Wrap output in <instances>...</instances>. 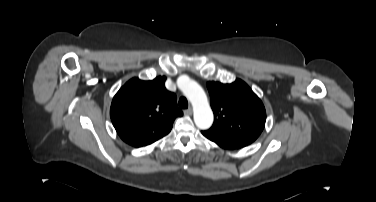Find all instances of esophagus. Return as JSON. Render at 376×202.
I'll use <instances>...</instances> for the list:
<instances>
[{
	"label": "esophagus",
	"mask_w": 376,
	"mask_h": 202,
	"mask_svg": "<svg viewBox=\"0 0 376 202\" xmlns=\"http://www.w3.org/2000/svg\"><path fill=\"white\" fill-rule=\"evenodd\" d=\"M184 114L185 115H191L192 114V109L189 108V109L184 110Z\"/></svg>",
	"instance_id": "obj_1"
}]
</instances>
